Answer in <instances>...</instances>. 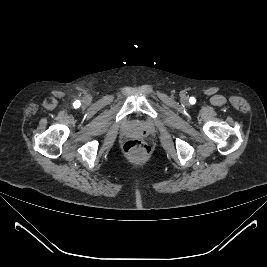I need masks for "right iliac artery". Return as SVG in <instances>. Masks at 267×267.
I'll return each mask as SVG.
<instances>
[{"mask_svg":"<svg viewBox=\"0 0 267 267\" xmlns=\"http://www.w3.org/2000/svg\"><path fill=\"white\" fill-rule=\"evenodd\" d=\"M75 104H76L77 106H79V105H80V102H79V101H76Z\"/></svg>","mask_w":267,"mask_h":267,"instance_id":"1","label":"right iliac artery"}]
</instances>
